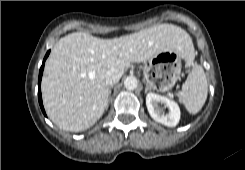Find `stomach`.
<instances>
[{
	"instance_id": "1",
	"label": "stomach",
	"mask_w": 245,
	"mask_h": 170,
	"mask_svg": "<svg viewBox=\"0 0 245 170\" xmlns=\"http://www.w3.org/2000/svg\"><path fill=\"white\" fill-rule=\"evenodd\" d=\"M183 59L185 57L177 50H167L147 60L143 73L149 89L160 92L171 90L181 78Z\"/></svg>"
}]
</instances>
